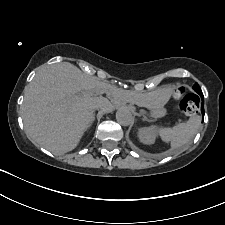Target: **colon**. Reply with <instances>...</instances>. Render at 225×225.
Here are the masks:
<instances>
[{
	"mask_svg": "<svg viewBox=\"0 0 225 225\" xmlns=\"http://www.w3.org/2000/svg\"><path fill=\"white\" fill-rule=\"evenodd\" d=\"M173 97L178 100L177 109L185 115H195L200 110V100L196 95L186 94L183 85H177L173 89Z\"/></svg>",
	"mask_w": 225,
	"mask_h": 225,
	"instance_id": "1",
	"label": "colon"
}]
</instances>
